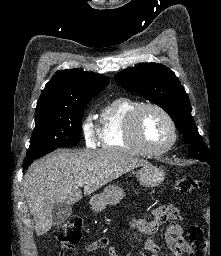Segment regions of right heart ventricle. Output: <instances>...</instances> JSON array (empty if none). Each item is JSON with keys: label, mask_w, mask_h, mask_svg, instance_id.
I'll list each match as a JSON object with an SVG mask.
<instances>
[{"label": "right heart ventricle", "mask_w": 221, "mask_h": 256, "mask_svg": "<svg viewBox=\"0 0 221 256\" xmlns=\"http://www.w3.org/2000/svg\"><path fill=\"white\" fill-rule=\"evenodd\" d=\"M141 103L128 96L112 99L102 109L100 117V145L115 152L141 154L126 137V125L132 111Z\"/></svg>", "instance_id": "right-heart-ventricle-1"}]
</instances>
